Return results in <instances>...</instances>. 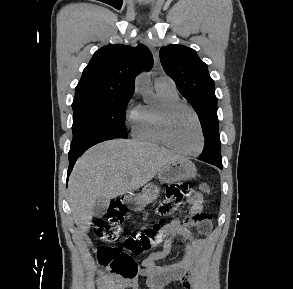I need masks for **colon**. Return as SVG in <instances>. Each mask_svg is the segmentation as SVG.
<instances>
[{"mask_svg": "<svg viewBox=\"0 0 293 289\" xmlns=\"http://www.w3.org/2000/svg\"><path fill=\"white\" fill-rule=\"evenodd\" d=\"M199 188L205 194L210 193V186L206 183H201ZM189 190V185L185 183L168 185L166 188V200L158 209L159 215L164 216L174 212ZM124 215L125 209L121 204H112L106 217L95 219L94 230L96 236L108 243L119 241L122 232L121 222ZM162 229L163 222H157L126 237L123 241V251L111 247L101 249L98 253L99 262L109 267L110 272L115 276L134 277L138 269L132 254L149 251L157 244Z\"/></svg>", "mask_w": 293, "mask_h": 289, "instance_id": "colon-1", "label": "colon"}]
</instances>
